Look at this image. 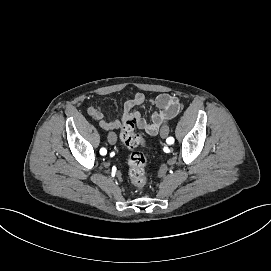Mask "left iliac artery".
Segmentation results:
<instances>
[{
  "label": "left iliac artery",
  "mask_w": 271,
  "mask_h": 271,
  "mask_svg": "<svg viewBox=\"0 0 271 271\" xmlns=\"http://www.w3.org/2000/svg\"><path fill=\"white\" fill-rule=\"evenodd\" d=\"M166 141L168 144H172L174 142V137H168Z\"/></svg>",
  "instance_id": "obj_1"
}]
</instances>
